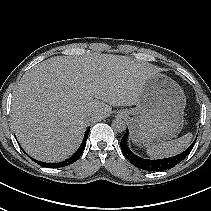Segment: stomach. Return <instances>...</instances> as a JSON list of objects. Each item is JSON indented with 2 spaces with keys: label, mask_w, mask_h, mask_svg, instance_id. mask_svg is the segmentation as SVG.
Instances as JSON below:
<instances>
[{
  "label": "stomach",
  "mask_w": 211,
  "mask_h": 211,
  "mask_svg": "<svg viewBox=\"0 0 211 211\" xmlns=\"http://www.w3.org/2000/svg\"><path fill=\"white\" fill-rule=\"evenodd\" d=\"M186 97L182 88L168 76L155 73L143 87L135 108L123 109L138 146H151L177 137L184 124Z\"/></svg>",
  "instance_id": "obj_1"
}]
</instances>
